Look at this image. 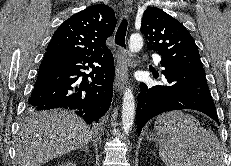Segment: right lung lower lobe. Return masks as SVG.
Segmentation results:
<instances>
[{"label": "right lung lower lobe", "instance_id": "right-lung-lower-lobe-1", "mask_svg": "<svg viewBox=\"0 0 231 166\" xmlns=\"http://www.w3.org/2000/svg\"><path fill=\"white\" fill-rule=\"evenodd\" d=\"M91 69L90 74L84 71ZM114 59L111 51L96 56H68L46 52L28 109L74 110L88 124L98 122L113 96Z\"/></svg>", "mask_w": 231, "mask_h": 166}]
</instances>
